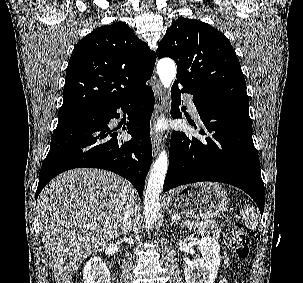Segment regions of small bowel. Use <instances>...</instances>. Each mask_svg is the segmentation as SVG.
I'll list each match as a JSON object with an SVG mask.
<instances>
[{
    "label": "small bowel",
    "instance_id": "c3829d8e",
    "mask_svg": "<svg viewBox=\"0 0 303 283\" xmlns=\"http://www.w3.org/2000/svg\"><path fill=\"white\" fill-rule=\"evenodd\" d=\"M219 283H225V281H224L223 279H221V280L219 281Z\"/></svg>",
    "mask_w": 303,
    "mask_h": 283
}]
</instances>
